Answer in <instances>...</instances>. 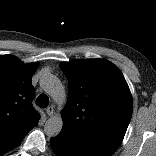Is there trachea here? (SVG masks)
Segmentation results:
<instances>
[{
  "label": "trachea",
  "instance_id": "1",
  "mask_svg": "<svg viewBox=\"0 0 156 156\" xmlns=\"http://www.w3.org/2000/svg\"><path fill=\"white\" fill-rule=\"evenodd\" d=\"M36 104L41 108H46L49 105V98L46 94H40L36 99Z\"/></svg>",
  "mask_w": 156,
  "mask_h": 156
}]
</instances>
